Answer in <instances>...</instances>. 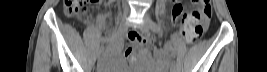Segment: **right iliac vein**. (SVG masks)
Instances as JSON below:
<instances>
[{"label": "right iliac vein", "instance_id": "63e3f726", "mask_svg": "<svg viewBox=\"0 0 267 72\" xmlns=\"http://www.w3.org/2000/svg\"><path fill=\"white\" fill-rule=\"evenodd\" d=\"M127 17H128V12H125V13L123 14V16H122V19H121L120 24L118 25V30H120V31L123 30V28H124V23H125ZM102 52H103V50L99 51V53H98V58L101 57Z\"/></svg>", "mask_w": 267, "mask_h": 72}]
</instances>
